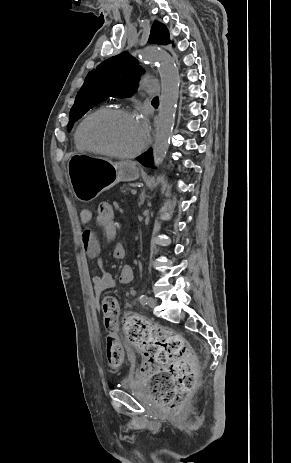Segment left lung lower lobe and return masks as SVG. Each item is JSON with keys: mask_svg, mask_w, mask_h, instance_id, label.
Returning <instances> with one entry per match:
<instances>
[{"mask_svg": "<svg viewBox=\"0 0 291 463\" xmlns=\"http://www.w3.org/2000/svg\"><path fill=\"white\" fill-rule=\"evenodd\" d=\"M138 161L144 165L145 167H152L154 168V166L152 165V162H153V157H152V149H150L148 152H146L145 154H143L142 156H140L138 158Z\"/></svg>", "mask_w": 291, "mask_h": 463, "instance_id": "left-lung-lower-lobe-1", "label": "left lung lower lobe"}]
</instances>
